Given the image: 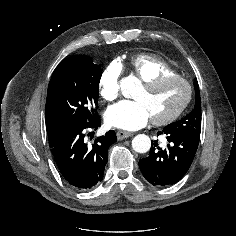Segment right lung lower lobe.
I'll use <instances>...</instances> for the list:
<instances>
[{"label": "right lung lower lobe", "instance_id": "right-lung-lower-lobe-1", "mask_svg": "<svg viewBox=\"0 0 236 236\" xmlns=\"http://www.w3.org/2000/svg\"><path fill=\"white\" fill-rule=\"evenodd\" d=\"M100 125L98 115L86 124L65 127L56 136L48 138L61 175L76 189H90L103 179L108 148L117 137L115 131L110 130L88 145L85 140L87 129L96 130Z\"/></svg>", "mask_w": 236, "mask_h": 236}]
</instances>
